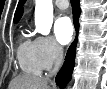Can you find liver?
I'll use <instances>...</instances> for the list:
<instances>
[{"instance_id":"6515ba94","label":"liver","mask_w":107,"mask_h":89,"mask_svg":"<svg viewBox=\"0 0 107 89\" xmlns=\"http://www.w3.org/2000/svg\"><path fill=\"white\" fill-rule=\"evenodd\" d=\"M9 89H51L48 80L32 75H19L9 85Z\"/></svg>"}]
</instances>
